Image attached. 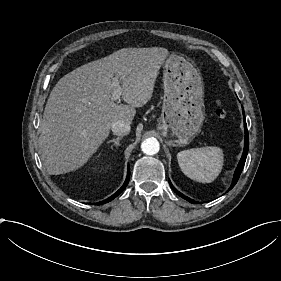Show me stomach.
Here are the masks:
<instances>
[{"mask_svg":"<svg viewBox=\"0 0 281 281\" xmlns=\"http://www.w3.org/2000/svg\"><path fill=\"white\" fill-rule=\"evenodd\" d=\"M164 99L158 130L169 146H186L204 120V83L194 63L177 53L163 62Z\"/></svg>","mask_w":281,"mask_h":281,"instance_id":"1","label":"stomach"}]
</instances>
